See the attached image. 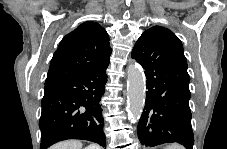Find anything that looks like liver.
<instances>
[{"mask_svg":"<svg viewBox=\"0 0 227 149\" xmlns=\"http://www.w3.org/2000/svg\"><path fill=\"white\" fill-rule=\"evenodd\" d=\"M95 146L96 149H101L100 146ZM51 149H82V143L78 140H67L53 145Z\"/></svg>","mask_w":227,"mask_h":149,"instance_id":"6515ba94","label":"liver"}]
</instances>
